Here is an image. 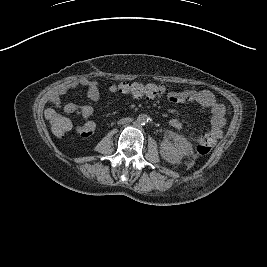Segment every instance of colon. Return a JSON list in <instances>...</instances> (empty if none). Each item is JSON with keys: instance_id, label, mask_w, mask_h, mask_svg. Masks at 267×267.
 Here are the masks:
<instances>
[{"instance_id": "obj_1", "label": "colon", "mask_w": 267, "mask_h": 267, "mask_svg": "<svg viewBox=\"0 0 267 267\" xmlns=\"http://www.w3.org/2000/svg\"><path fill=\"white\" fill-rule=\"evenodd\" d=\"M115 90L123 95L134 97H162L166 94V88L148 84L140 83H122L115 87ZM49 125L53 134L58 137H65L71 129V121L69 118L54 113L48 116ZM90 134V132H88ZM212 149V141L206 133H202L198 138L196 151L199 155H207Z\"/></svg>"}]
</instances>
